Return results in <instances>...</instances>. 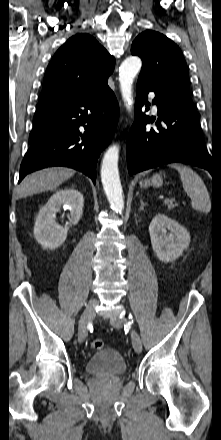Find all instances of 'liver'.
<instances>
[{"instance_id": "liver-1", "label": "liver", "mask_w": 221, "mask_h": 440, "mask_svg": "<svg viewBox=\"0 0 221 440\" xmlns=\"http://www.w3.org/2000/svg\"><path fill=\"white\" fill-rule=\"evenodd\" d=\"M75 174L70 168H47L27 176L18 187V196L27 197L40 192L56 189Z\"/></svg>"}]
</instances>
